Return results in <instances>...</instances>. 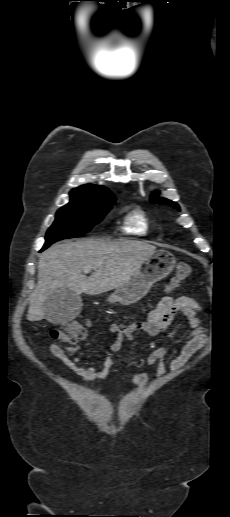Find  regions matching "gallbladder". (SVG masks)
I'll return each mask as SVG.
<instances>
[{"label":"gallbladder","mask_w":230,"mask_h":517,"mask_svg":"<svg viewBox=\"0 0 230 517\" xmlns=\"http://www.w3.org/2000/svg\"><path fill=\"white\" fill-rule=\"evenodd\" d=\"M82 299L69 289L53 292L46 299L44 308L46 318L53 324H61L75 319L82 309Z\"/></svg>","instance_id":"bac80fb5"}]
</instances>
